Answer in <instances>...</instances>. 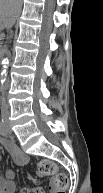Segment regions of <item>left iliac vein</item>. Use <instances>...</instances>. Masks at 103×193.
I'll return each mask as SVG.
<instances>
[{"label":"left iliac vein","instance_id":"4c4485c4","mask_svg":"<svg viewBox=\"0 0 103 193\" xmlns=\"http://www.w3.org/2000/svg\"><path fill=\"white\" fill-rule=\"evenodd\" d=\"M6 129H7L8 133H11V132H12V131H11V128H10L9 122L6 123Z\"/></svg>","mask_w":103,"mask_h":193}]
</instances>
